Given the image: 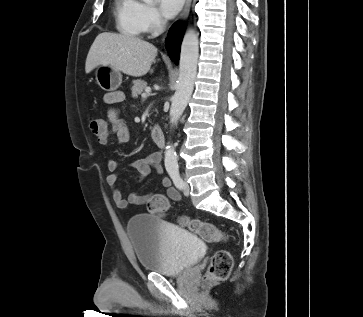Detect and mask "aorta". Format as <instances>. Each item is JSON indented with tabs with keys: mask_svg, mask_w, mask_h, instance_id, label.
Here are the masks:
<instances>
[{
	"mask_svg": "<svg viewBox=\"0 0 363 317\" xmlns=\"http://www.w3.org/2000/svg\"><path fill=\"white\" fill-rule=\"evenodd\" d=\"M143 1L150 4L153 3L154 0ZM198 57V34L195 30L189 29L185 33L181 44L179 77L170 108L171 126L177 124L193 93L194 82L197 74ZM164 162L167 171H174L178 169L177 155L172 144H168L166 146Z\"/></svg>",
	"mask_w": 363,
	"mask_h": 317,
	"instance_id": "762f6f07",
	"label": "aorta"
}]
</instances>
